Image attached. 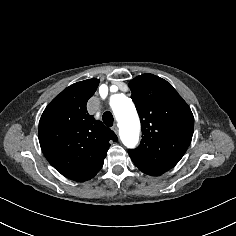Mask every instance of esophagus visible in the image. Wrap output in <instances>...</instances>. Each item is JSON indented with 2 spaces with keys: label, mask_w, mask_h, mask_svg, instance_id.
<instances>
[{
  "label": "esophagus",
  "mask_w": 236,
  "mask_h": 236,
  "mask_svg": "<svg viewBox=\"0 0 236 236\" xmlns=\"http://www.w3.org/2000/svg\"><path fill=\"white\" fill-rule=\"evenodd\" d=\"M112 130L117 134L118 133V127L116 124L112 126Z\"/></svg>",
  "instance_id": "obj_1"
}]
</instances>
